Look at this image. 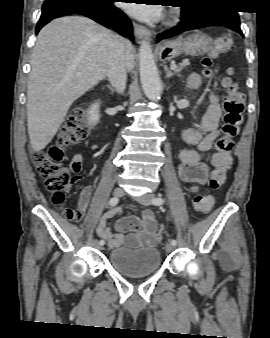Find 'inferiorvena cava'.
<instances>
[{
    "instance_id": "inferior-vena-cava-1",
    "label": "inferior vena cava",
    "mask_w": 270,
    "mask_h": 338,
    "mask_svg": "<svg viewBox=\"0 0 270 338\" xmlns=\"http://www.w3.org/2000/svg\"><path fill=\"white\" fill-rule=\"evenodd\" d=\"M126 40L114 35L110 42L107 76L118 93H123L126 88L127 63Z\"/></svg>"
}]
</instances>
